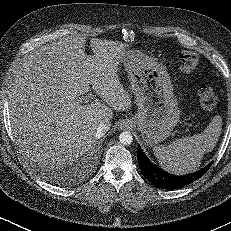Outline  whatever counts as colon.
<instances>
[{"instance_id":"1","label":"colon","mask_w":231,"mask_h":231,"mask_svg":"<svg viewBox=\"0 0 231 231\" xmlns=\"http://www.w3.org/2000/svg\"><path fill=\"white\" fill-rule=\"evenodd\" d=\"M178 63L182 72L189 73L198 67L200 57L195 52L184 51L178 55ZM197 96L199 103L204 109L211 110L217 104L216 92L208 85H199L197 88Z\"/></svg>"}]
</instances>
